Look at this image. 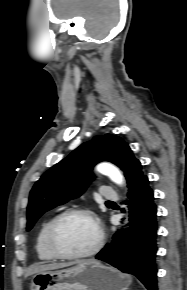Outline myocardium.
<instances>
[{
  "label": "myocardium",
  "mask_w": 187,
  "mask_h": 290,
  "mask_svg": "<svg viewBox=\"0 0 187 290\" xmlns=\"http://www.w3.org/2000/svg\"><path fill=\"white\" fill-rule=\"evenodd\" d=\"M75 215L84 216V217H87L88 219H90L92 221V223L94 224L95 229L97 231V239H96L95 244L92 246L91 249H89L86 252H82V253L65 252L59 248L57 241H56V231H57L59 224L64 219H66L70 216H75ZM103 241H104L103 229H102L96 215L92 211H90L88 209H83V208L69 209V210H66V211L58 214L51 221V223L48 227V230H47V234H46V242H47L48 249L56 258H59V259L72 260V259H86V258L92 257L101 249V247L103 245Z\"/></svg>",
  "instance_id": "myocardium-1"
}]
</instances>
